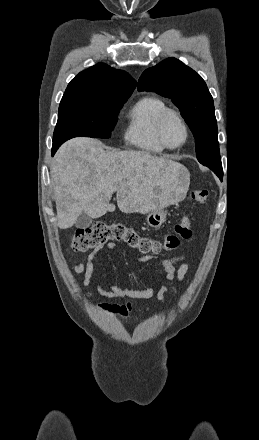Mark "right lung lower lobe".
Listing matches in <instances>:
<instances>
[{
  "mask_svg": "<svg viewBox=\"0 0 259 440\" xmlns=\"http://www.w3.org/2000/svg\"><path fill=\"white\" fill-rule=\"evenodd\" d=\"M60 143H53V147H52V155H54V153L57 151V149L60 147Z\"/></svg>",
  "mask_w": 259,
  "mask_h": 440,
  "instance_id": "1",
  "label": "right lung lower lobe"
}]
</instances>
